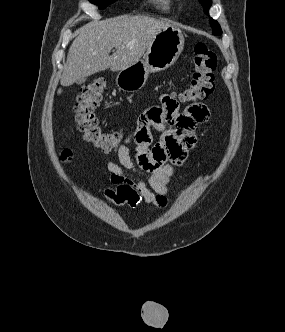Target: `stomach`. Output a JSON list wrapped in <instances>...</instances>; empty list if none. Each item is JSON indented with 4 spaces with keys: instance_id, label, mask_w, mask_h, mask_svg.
<instances>
[{
    "instance_id": "stomach-1",
    "label": "stomach",
    "mask_w": 285,
    "mask_h": 332,
    "mask_svg": "<svg viewBox=\"0 0 285 332\" xmlns=\"http://www.w3.org/2000/svg\"><path fill=\"white\" fill-rule=\"evenodd\" d=\"M184 47L182 31L171 25L161 30L149 45L143 60L121 70L116 77L120 90L135 92L144 87L149 73L168 69L179 58Z\"/></svg>"
}]
</instances>
